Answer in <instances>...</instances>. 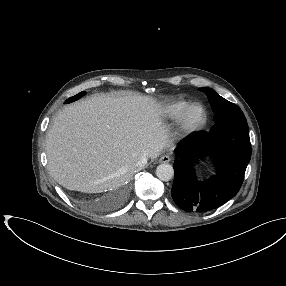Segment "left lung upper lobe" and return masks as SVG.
<instances>
[{"label":"left lung upper lobe","mask_w":286,"mask_h":286,"mask_svg":"<svg viewBox=\"0 0 286 286\" xmlns=\"http://www.w3.org/2000/svg\"><path fill=\"white\" fill-rule=\"evenodd\" d=\"M200 91L206 93L209 103L215 113V123L223 121H244L246 118L241 109L234 103L229 102L220 95H218L211 88H199Z\"/></svg>","instance_id":"5c2ea615"}]
</instances>
